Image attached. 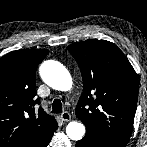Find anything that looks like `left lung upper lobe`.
<instances>
[{"label": "left lung upper lobe", "mask_w": 147, "mask_h": 147, "mask_svg": "<svg viewBox=\"0 0 147 147\" xmlns=\"http://www.w3.org/2000/svg\"><path fill=\"white\" fill-rule=\"evenodd\" d=\"M83 78L76 116L85 124L86 137L103 147H126L138 100L137 75L113 43L86 40L68 46Z\"/></svg>", "instance_id": "1"}]
</instances>
